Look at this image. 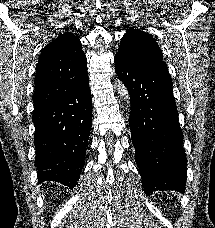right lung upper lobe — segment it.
Here are the masks:
<instances>
[{"mask_svg": "<svg viewBox=\"0 0 215 228\" xmlns=\"http://www.w3.org/2000/svg\"><path fill=\"white\" fill-rule=\"evenodd\" d=\"M87 59L80 40L71 33L59 35L41 51L36 69L34 111L66 93L69 82L87 75Z\"/></svg>", "mask_w": 215, "mask_h": 228, "instance_id": "right-lung-upper-lobe-1", "label": "right lung upper lobe"}]
</instances>
